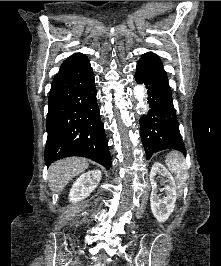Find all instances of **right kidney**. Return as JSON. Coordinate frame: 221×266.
I'll use <instances>...</instances> for the list:
<instances>
[{
	"mask_svg": "<svg viewBox=\"0 0 221 266\" xmlns=\"http://www.w3.org/2000/svg\"><path fill=\"white\" fill-rule=\"evenodd\" d=\"M101 180V171L92 170L82 174L72 185L69 193L70 202H78L90 195Z\"/></svg>",
	"mask_w": 221,
	"mask_h": 266,
	"instance_id": "1",
	"label": "right kidney"
}]
</instances>
